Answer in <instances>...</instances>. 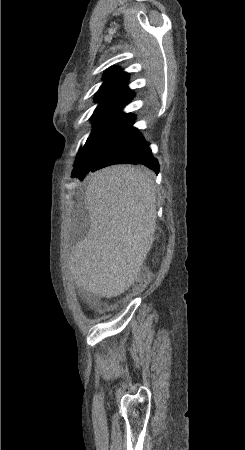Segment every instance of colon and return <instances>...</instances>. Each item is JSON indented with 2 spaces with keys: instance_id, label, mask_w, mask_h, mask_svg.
Segmentation results:
<instances>
[{
  "instance_id": "5ec220e1",
  "label": "colon",
  "mask_w": 245,
  "mask_h": 450,
  "mask_svg": "<svg viewBox=\"0 0 245 450\" xmlns=\"http://www.w3.org/2000/svg\"><path fill=\"white\" fill-rule=\"evenodd\" d=\"M146 285L145 276L139 274L133 284L130 287V294H136L140 292Z\"/></svg>"
}]
</instances>
